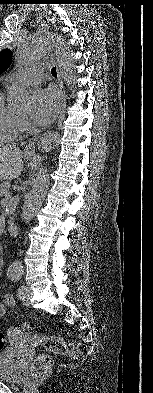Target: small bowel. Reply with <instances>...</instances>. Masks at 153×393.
Masks as SVG:
<instances>
[{"mask_svg":"<svg viewBox=\"0 0 153 393\" xmlns=\"http://www.w3.org/2000/svg\"><path fill=\"white\" fill-rule=\"evenodd\" d=\"M14 304V297L11 294H5L3 296L2 302L0 303V317L5 313L7 308L14 306ZM12 330H15L17 332L16 328H12Z\"/></svg>","mask_w":153,"mask_h":393,"instance_id":"c3829d8e","label":"small bowel"}]
</instances>
